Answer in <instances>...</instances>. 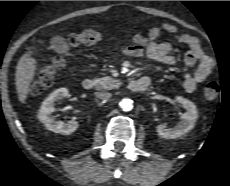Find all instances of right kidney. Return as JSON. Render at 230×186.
Here are the masks:
<instances>
[{"label":"right kidney","mask_w":230,"mask_h":186,"mask_svg":"<svg viewBox=\"0 0 230 186\" xmlns=\"http://www.w3.org/2000/svg\"><path fill=\"white\" fill-rule=\"evenodd\" d=\"M68 89L67 88H59L52 92L42 103L38 118L39 120L45 124V127L56 133H61L65 135H69L73 133L79 126L78 122L76 121H68L64 123L59 120H55L52 118L51 113L55 111V104L59 100L68 96Z\"/></svg>","instance_id":"obj_1"}]
</instances>
